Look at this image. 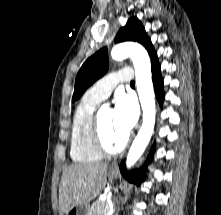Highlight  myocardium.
Returning <instances> with one entry per match:
<instances>
[{
  "instance_id": "f54148a6",
  "label": "myocardium",
  "mask_w": 221,
  "mask_h": 215,
  "mask_svg": "<svg viewBox=\"0 0 221 215\" xmlns=\"http://www.w3.org/2000/svg\"><path fill=\"white\" fill-rule=\"evenodd\" d=\"M92 142L95 149L102 155V156H116L124 152L126 149L129 139L125 138L122 144L118 148H110L103 137L101 124H100V113L95 114L92 124Z\"/></svg>"
}]
</instances>
